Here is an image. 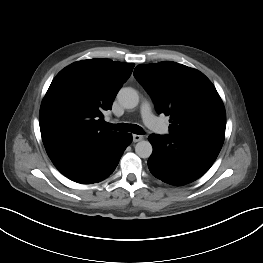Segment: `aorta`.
Listing matches in <instances>:
<instances>
[{
    "label": "aorta",
    "mask_w": 263,
    "mask_h": 263,
    "mask_svg": "<svg viewBox=\"0 0 263 263\" xmlns=\"http://www.w3.org/2000/svg\"><path fill=\"white\" fill-rule=\"evenodd\" d=\"M119 103L126 109L135 108L139 103V96L135 89L125 87L119 90L117 94ZM153 148L148 141H139L135 146V152L140 158H149Z\"/></svg>",
    "instance_id": "obj_1"
}]
</instances>
